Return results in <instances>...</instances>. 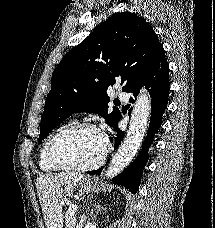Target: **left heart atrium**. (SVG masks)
<instances>
[{"label": "left heart atrium", "mask_w": 215, "mask_h": 228, "mask_svg": "<svg viewBox=\"0 0 215 228\" xmlns=\"http://www.w3.org/2000/svg\"><path fill=\"white\" fill-rule=\"evenodd\" d=\"M101 137L103 139V142L106 144L109 138L108 134L105 132H101Z\"/></svg>", "instance_id": "left-heart-atrium-1"}]
</instances>
